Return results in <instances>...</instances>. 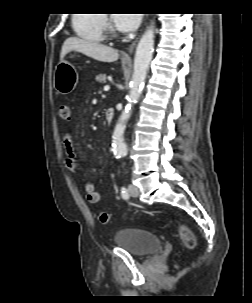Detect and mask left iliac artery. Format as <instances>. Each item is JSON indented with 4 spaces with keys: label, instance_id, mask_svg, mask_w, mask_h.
I'll use <instances>...</instances> for the list:
<instances>
[{
    "label": "left iliac artery",
    "instance_id": "44dca946",
    "mask_svg": "<svg viewBox=\"0 0 252 303\" xmlns=\"http://www.w3.org/2000/svg\"><path fill=\"white\" fill-rule=\"evenodd\" d=\"M121 196L124 198V199H127L129 197L128 195V192H127V189L125 187H122L121 188Z\"/></svg>",
    "mask_w": 252,
    "mask_h": 303
}]
</instances>
